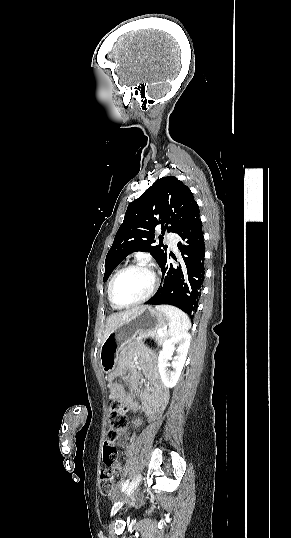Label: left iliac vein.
I'll use <instances>...</instances> for the list:
<instances>
[{
  "mask_svg": "<svg viewBox=\"0 0 291 538\" xmlns=\"http://www.w3.org/2000/svg\"><path fill=\"white\" fill-rule=\"evenodd\" d=\"M140 481H141V474H138L134 477L133 481L130 483L125 496L114 505L111 515L115 514L123 506V504L129 499V497L134 493L135 489L139 485Z\"/></svg>",
  "mask_w": 291,
  "mask_h": 538,
  "instance_id": "1",
  "label": "left iliac vein"
}]
</instances>
